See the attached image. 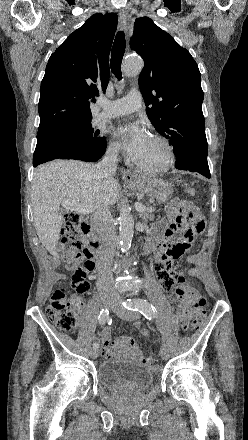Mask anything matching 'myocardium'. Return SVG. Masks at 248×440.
I'll return each mask as SVG.
<instances>
[{"mask_svg":"<svg viewBox=\"0 0 248 440\" xmlns=\"http://www.w3.org/2000/svg\"><path fill=\"white\" fill-rule=\"evenodd\" d=\"M152 139L159 143L164 150V157L162 162L154 167H147L135 163V167L139 172L145 174H161L166 172L170 168L174 158V150L170 142L165 137L156 134L152 136Z\"/></svg>","mask_w":248,"mask_h":440,"instance_id":"f54148a6","label":"myocardium"}]
</instances>
